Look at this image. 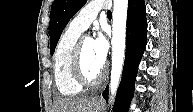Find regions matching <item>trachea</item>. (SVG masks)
Returning <instances> with one entry per match:
<instances>
[{
  "instance_id": "trachea-1",
  "label": "trachea",
  "mask_w": 193,
  "mask_h": 112,
  "mask_svg": "<svg viewBox=\"0 0 193 112\" xmlns=\"http://www.w3.org/2000/svg\"><path fill=\"white\" fill-rule=\"evenodd\" d=\"M107 15H108V16H111V15H112V12H111V11H107Z\"/></svg>"
}]
</instances>
